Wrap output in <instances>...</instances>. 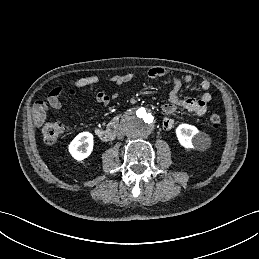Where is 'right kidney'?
<instances>
[{"mask_svg":"<svg viewBox=\"0 0 259 259\" xmlns=\"http://www.w3.org/2000/svg\"><path fill=\"white\" fill-rule=\"evenodd\" d=\"M93 150V135L90 132L79 133L70 143L69 152L78 161L87 158Z\"/></svg>","mask_w":259,"mask_h":259,"instance_id":"1","label":"right kidney"}]
</instances>
